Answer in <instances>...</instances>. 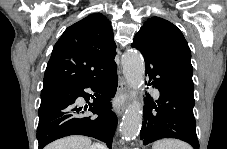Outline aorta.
<instances>
[{
  "instance_id": "762f6f07",
  "label": "aorta",
  "mask_w": 227,
  "mask_h": 149,
  "mask_svg": "<svg viewBox=\"0 0 227 149\" xmlns=\"http://www.w3.org/2000/svg\"><path fill=\"white\" fill-rule=\"evenodd\" d=\"M122 67L124 77L132 89V102L126 109L120 132L123 138L131 140L138 136L142 123L143 108L137 100V94L144 82V59L136 50L127 51L122 58Z\"/></svg>"
}]
</instances>
